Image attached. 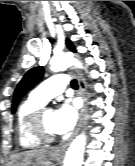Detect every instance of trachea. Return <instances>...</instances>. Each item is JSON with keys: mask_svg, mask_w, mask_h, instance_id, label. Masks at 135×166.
Returning <instances> with one entry per match:
<instances>
[{"mask_svg": "<svg viewBox=\"0 0 135 166\" xmlns=\"http://www.w3.org/2000/svg\"><path fill=\"white\" fill-rule=\"evenodd\" d=\"M71 86H72V88H74V89H77V88H78V83H77V81H76L75 79L71 81Z\"/></svg>", "mask_w": 135, "mask_h": 166, "instance_id": "3493384b", "label": "trachea"}]
</instances>
